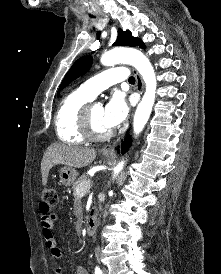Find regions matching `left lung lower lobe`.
<instances>
[{
    "label": "left lung lower lobe",
    "mask_w": 221,
    "mask_h": 274,
    "mask_svg": "<svg viewBox=\"0 0 221 274\" xmlns=\"http://www.w3.org/2000/svg\"><path fill=\"white\" fill-rule=\"evenodd\" d=\"M130 145H131V140H130V137L128 136L122 144V154L126 152V150L130 147Z\"/></svg>",
    "instance_id": "0a47b994"
}]
</instances>
